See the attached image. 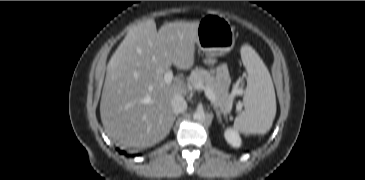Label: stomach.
<instances>
[{
    "label": "stomach",
    "mask_w": 365,
    "mask_h": 180,
    "mask_svg": "<svg viewBox=\"0 0 365 180\" xmlns=\"http://www.w3.org/2000/svg\"><path fill=\"white\" fill-rule=\"evenodd\" d=\"M235 30L230 22L216 15H205L198 23L195 47L203 52L224 55L235 45Z\"/></svg>",
    "instance_id": "0dacf381"
}]
</instances>
